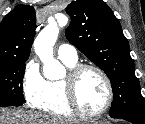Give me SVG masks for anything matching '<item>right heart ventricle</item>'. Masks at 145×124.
Wrapping results in <instances>:
<instances>
[{"label":"right heart ventricle","instance_id":"1","mask_svg":"<svg viewBox=\"0 0 145 124\" xmlns=\"http://www.w3.org/2000/svg\"><path fill=\"white\" fill-rule=\"evenodd\" d=\"M62 62L68 68H72L77 64V61L62 60ZM37 108L56 117H69L74 115V111L70 107L66 97L64 79L45 81L43 98L38 103Z\"/></svg>","mask_w":145,"mask_h":124}]
</instances>
